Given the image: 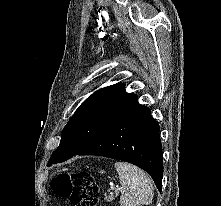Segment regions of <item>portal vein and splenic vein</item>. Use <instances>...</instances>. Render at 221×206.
<instances>
[{
	"mask_svg": "<svg viewBox=\"0 0 221 206\" xmlns=\"http://www.w3.org/2000/svg\"><path fill=\"white\" fill-rule=\"evenodd\" d=\"M110 189H111V190H115V187L112 185V186L110 187ZM117 190L120 191L121 188H118Z\"/></svg>",
	"mask_w": 221,
	"mask_h": 206,
	"instance_id": "18ae733b",
	"label": "portal vein and splenic vein"
}]
</instances>
